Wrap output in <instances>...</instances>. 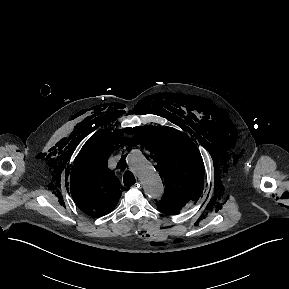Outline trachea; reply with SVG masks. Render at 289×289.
<instances>
[{
    "label": "trachea",
    "instance_id": "trachea-1",
    "mask_svg": "<svg viewBox=\"0 0 289 289\" xmlns=\"http://www.w3.org/2000/svg\"><path fill=\"white\" fill-rule=\"evenodd\" d=\"M123 182L126 186L135 184L136 180L134 175L130 171H126L123 176Z\"/></svg>",
    "mask_w": 289,
    "mask_h": 289
}]
</instances>
